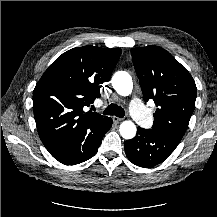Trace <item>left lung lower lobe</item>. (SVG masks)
<instances>
[{
  "label": "left lung lower lobe",
  "mask_w": 217,
  "mask_h": 217,
  "mask_svg": "<svg viewBox=\"0 0 217 217\" xmlns=\"http://www.w3.org/2000/svg\"><path fill=\"white\" fill-rule=\"evenodd\" d=\"M179 142L153 129L138 127L136 136L125 142V153L133 164L150 168L163 162Z\"/></svg>",
  "instance_id": "1"
}]
</instances>
